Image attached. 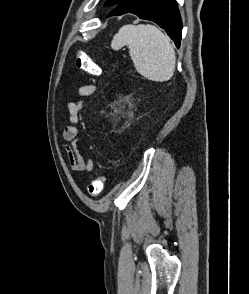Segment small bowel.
<instances>
[{"label":"small bowel","mask_w":249,"mask_h":294,"mask_svg":"<svg viewBox=\"0 0 249 294\" xmlns=\"http://www.w3.org/2000/svg\"><path fill=\"white\" fill-rule=\"evenodd\" d=\"M95 85H85L79 88V100L76 102H66L65 107L69 113L70 125L66 126L62 131V139L65 142H70L71 146H65V153L74 172L90 173L93 170V160L83 153L81 148V139L78 136L77 124L80 120V115L83 110V98L94 94Z\"/></svg>","instance_id":"small-bowel-1"}]
</instances>
